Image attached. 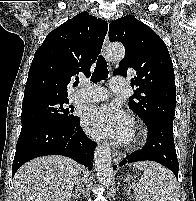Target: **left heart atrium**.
Returning a JSON list of instances; mask_svg holds the SVG:
<instances>
[{"mask_svg": "<svg viewBox=\"0 0 196 201\" xmlns=\"http://www.w3.org/2000/svg\"><path fill=\"white\" fill-rule=\"evenodd\" d=\"M82 124L93 137H110L118 143L130 140L134 126L132 117L114 104L86 108Z\"/></svg>", "mask_w": 196, "mask_h": 201, "instance_id": "obj_1", "label": "left heart atrium"}]
</instances>
